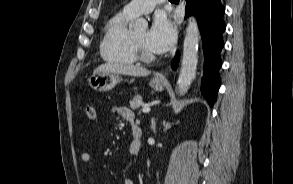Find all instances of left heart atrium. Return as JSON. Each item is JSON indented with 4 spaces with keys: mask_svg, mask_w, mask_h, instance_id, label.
<instances>
[{
    "mask_svg": "<svg viewBox=\"0 0 293 184\" xmlns=\"http://www.w3.org/2000/svg\"><path fill=\"white\" fill-rule=\"evenodd\" d=\"M176 30L174 25L165 17H157L147 32L146 44L155 54L168 51L175 42Z\"/></svg>",
    "mask_w": 293,
    "mask_h": 184,
    "instance_id": "39dd6f15",
    "label": "left heart atrium"
}]
</instances>
